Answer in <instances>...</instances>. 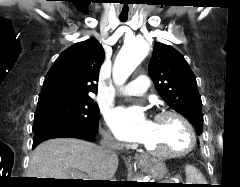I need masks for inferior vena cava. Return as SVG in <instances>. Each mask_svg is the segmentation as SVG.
<instances>
[{"mask_svg":"<svg viewBox=\"0 0 240 187\" xmlns=\"http://www.w3.org/2000/svg\"><path fill=\"white\" fill-rule=\"evenodd\" d=\"M100 144L101 153L106 159H113L116 156L115 150L120 147V144L110 134H104Z\"/></svg>","mask_w":240,"mask_h":187,"instance_id":"602c4592","label":"inferior vena cava"}]
</instances>
